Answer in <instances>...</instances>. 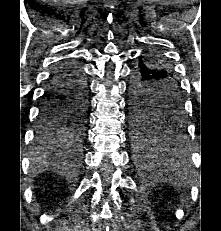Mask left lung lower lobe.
I'll use <instances>...</instances> for the list:
<instances>
[{
    "label": "left lung lower lobe",
    "mask_w": 221,
    "mask_h": 231,
    "mask_svg": "<svg viewBox=\"0 0 221 231\" xmlns=\"http://www.w3.org/2000/svg\"><path fill=\"white\" fill-rule=\"evenodd\" d=\"M163 74L152 71L147 64V60L143 57H139L136 63L130 81V109L132 104H137L139 107L146 104L156 106L161 103L158 96L159 94L153 95L152 101L147 103L148 99H144V90H160L163 85L157 83V78L162 77ZM155 93V92H154ZM173 133L170 134H159L158 136L145 142H135L139 149L144 152V156L148 154L157 155L156 159L159 162L165 160H171L177 162L186 153V144L184 139V123L183 120H178L176 124L172 126ZM134 136V134H133ZM147 159V158H146Z\"/></svg>",
    "instance_id": "obj_1"
}]
</instances>
